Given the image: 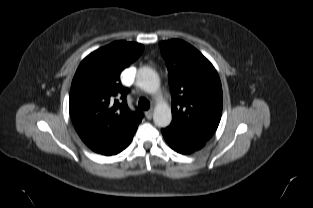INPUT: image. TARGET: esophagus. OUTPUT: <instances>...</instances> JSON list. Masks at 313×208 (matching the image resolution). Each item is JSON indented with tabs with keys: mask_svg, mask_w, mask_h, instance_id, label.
Returning <instances> with one entry per match:
<instances>
[{
	"mask_svg": "<svg viewBox=\"0 0 313 208\" xmlns=\"http://www.w3.org/2000/svg\"><path fill=\"white\" fill-rule=\"evenodd\" d=\"M145 116L147 119H152V116H153V109H149L145 112Z\"/></svg>",
	"mask_w": 313,
	"mask_h": 208,
	"instance_id": "1",
	"label": "esophagus"
}]
</instances>
